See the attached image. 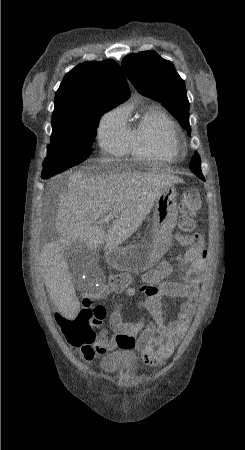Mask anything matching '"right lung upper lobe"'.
Wrapping results in <instances>:
<instances>
[{"instance_id":"right-lung-upper-lobe-1","label":"right lung upper lobe","mask_w":245,"mask_h":450,"mask_svg":"<svg viewBox=\"0 0 245 450\" xmlns=\"http://www.w3.org/2000/svg\"><path fill=\"white\" fill-rule=\"evenodd\" d=\"M130 96L119 65L111 60L84 62L68 72L55 94L53 117L79 113L93 104H120Z\"/></svg>"}]
</instances>
